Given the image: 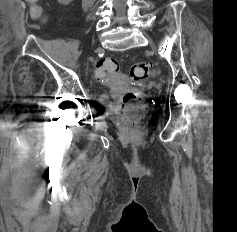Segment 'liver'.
<instances>
[{
    "mask_svg": "<svg viewBox=\"0 0 237 232\" xmlns=\"http://www.w3.org/2000/svg\"><path fill=\"white\" fill-rule=\"evenodd\" d=\"M28 2H36L37 0H27Z\"/></svg>",
    "mask_w": 237,
    "mask_h": 232,
    "instance_id": "obj_1",
    "label": "liver"
}]
</instances>
